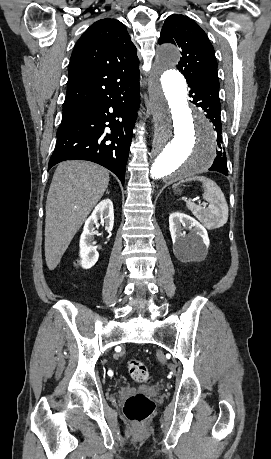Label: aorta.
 <instances>
[{
    "instance_id": "1",
    "label": "aorta",
    "mask_w": 271,
    "mask_h": 459,
    "mask_svg": "<svg viewBox=\"0 0 271 459\" xmlns=\"http://www.w3.org/2000/svg\"><path fill=\"white\" fill-rule=\"evenodd\" d=\"M177 47L159 48L150 76L149 98L155 132L152 179L173 182L206 171L216 156V134L204 114L188 104L187 83L175 69Z\"/></svg>"
}]
</instances>
